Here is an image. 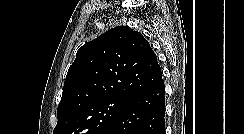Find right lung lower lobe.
Returning a JSON list of instances; mask_svg holds the SVG:
<instances>
[{
    "mask_svg": "<svg viewBox=\"0 0 244 134\" xmlns=\"http://www.w3.org/2000/svg\"><path fill=\"white\" fill-rule=\"evenodd\" d=\"M164 92L162 81L132 95L102 134H165Z\"/></svg>",
    "mask_w": 244,
    "mask_h": 134,
    "instance_id": "right-lung-lower-lobe-1",
    "label": "right lung lower lobe"
}]
</instances>
